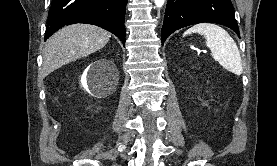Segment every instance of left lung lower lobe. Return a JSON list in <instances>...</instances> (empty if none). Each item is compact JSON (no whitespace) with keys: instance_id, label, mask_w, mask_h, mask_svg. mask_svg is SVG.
Here are the masks:
<instances>
[{"instance_id":"1","label":"left lung lower lobe","mask_w":277,"mask_h":166,"mask_svg":"<svg viewBox=\"0 0 277 166\" xmlns=\"http://www.w3.org/2000/svg\"><path fill=\"white\" fill-rule=\"evenodd\" d=\"M202 22L227 26L240 37L231 0H169L161 31L162 44L174 31Z\"/></svg>"}]
</instances>
